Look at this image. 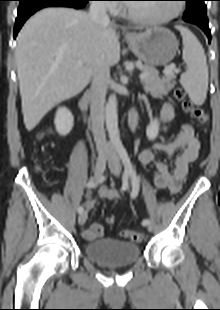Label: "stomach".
Here are the masks:
<instances>
[{
  "label": "stomach",
  "instance_id": "1",
  "mask_svg": "<svg viewBox=\"0 0 220 310\" xmlns=\"http://www.w3.org/2000/svg\"><path fill=\"white\" fill-rule=\"evenodd\" d=\"M132 52L147 66H161L173 60L178 50V41L168 29L153 27L145 32L126 36Z\"/></svg>",
  "mask_w": 220,
  "mask_h": 310
}]
</instances>
